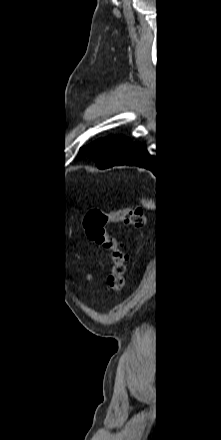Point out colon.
<instances>
[{"instance_id":"obj_1","label":"colon","mask_w":221,"mask_h":440,"mask_svg":"<svg viewBox=\"0 0 221 440\" xmlns=\"http://www.w3.org/2000/svg\"><path fill=\"white\" fill-rule=\"evenodd\" d=\"M124 221L129 225L139 227L143 225L144 215L138 209H126L114 213L88 214L84 219V229L88 238L111 252L112 268L108 278V285L114 294H118L124 287V275L127 255L121 248V243L110 236L106 226L109 223Z\"/></svg>"}]
</instances>
